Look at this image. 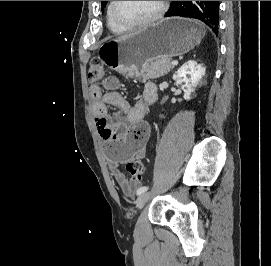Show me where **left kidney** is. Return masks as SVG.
Segmentation results:
<instances>
[{"instance_id":"5707ae66","label":"left kidney","mask_w":271,"mask_h":266,"mask_svg":"<svg viewBox=\"0 0 271 266\" xmlns=\"http://www.w3.org/2000/svg\"><path fill=\"white\" fill-rule=\"evenodd\" d=\"M204 75L205 67L196 61L190 60L177 70L173 75V80H175L176 85L183 89L184 99L190 100L191 93L195 91V87H197Z\"/></svg>"}]
</instances>
